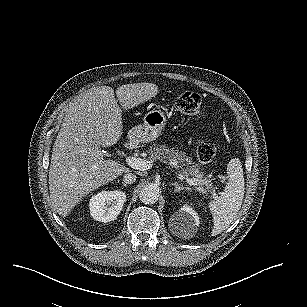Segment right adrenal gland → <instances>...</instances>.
I'll use <instances>...</instances> for the list:
<instances>
[{
    "instance_id": "right-adrenal-gland-1",
    "label": "right adrenal gland",
    "mask_w": 307,
    "mask_h": 307,
    "mask_svg": "<svg viewBox=\"0 0 307 307\" xmlns=\"http://www.w3.org/2000/svg\"><path fill=\"white\" fill-rule=\"evenodd\" d=\"M122 184H123L124 187H127V184H126V183L122 182Z\"/></svg>"
}]
</instances>
